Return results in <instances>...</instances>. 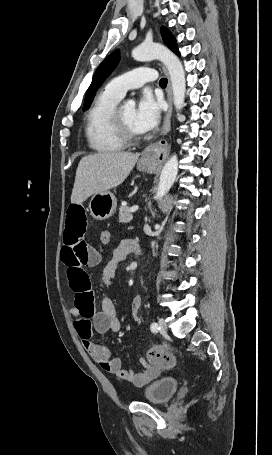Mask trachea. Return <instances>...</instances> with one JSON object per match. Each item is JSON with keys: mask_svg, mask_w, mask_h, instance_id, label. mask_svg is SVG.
<instances>
[{"mask_svg": "<svg viewBox=\"0 0 272 455\" xmlns=\"http://www.w3.org/2000/svg\"><path fill=\"white\" fill-rule=\"evenodd\" d=\"M159 85H160L161 87H166V86H167V79L162 78V79L159 81Z\"/></svg>", "mask_w": 272, "mask_h": 455, "instance_id": "trachea-1", "label": "trachea"}]
</instances>
